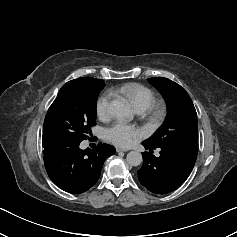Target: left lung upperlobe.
I'll use <instances>...</instances> for the list:
<instances>
[{
    "mask_svg": "<svg viewBox=\"0 0 237 237\" xmlns=\"http://www.w3.org/2000/svg\"><path fill=\"white\" fill-rule=\"evenodd\" d=\"M148 81L163 94L168 114L159 130L144 142L154 148H198L197 113L188 93L179 84L167 78H149Z\"/></svg>",
    "mask_w": 237,
    "mask_h": 237,
    "instance_id": "1",
    "label": "left lung upper lobe"
}]
</instances>
